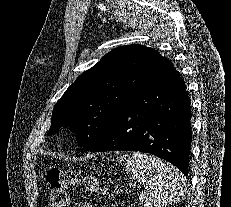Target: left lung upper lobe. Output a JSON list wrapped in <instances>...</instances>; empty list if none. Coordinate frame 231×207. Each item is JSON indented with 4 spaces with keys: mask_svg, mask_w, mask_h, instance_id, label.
Listing matches in <instances>:
<instances>
[{
    "mask_svg": "<svg viewBox=\"0 0 231 207\" xmlns=\"http://www.w3.org/2000/svg\"><path fill=\"white\" fill-rule=\"evenodd\" d=\"M162 56L142 45L121 46L77 77L55 104L48 135L62 127L88 149L113 118L147 85Z\"/></svg>",
    "mask_w": 231,
    "mask_h": 207,
    "instance_id": "1",
    "label": "left lung upper lobe"
}]
</instances>
